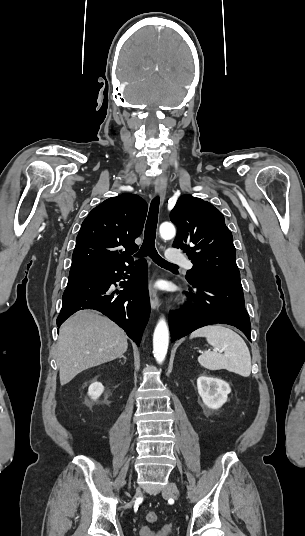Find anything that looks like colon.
<instances>
[{"instance_id": "colon-1", "label": "colon", "mask_w": 305, "mask_h": 536, "mask_svg": "<svg viewBox=\"0 0 305 536\" xmlns=\"http://www.w3.org/2000/svg\"><path fill=\"white\" fill-rule=\"evenodd\" d=\"M146 519L150 523H155L158 521V515L155 512H149L146 516Z\"/></svg>"}]
</instances>
